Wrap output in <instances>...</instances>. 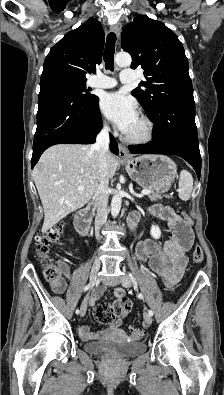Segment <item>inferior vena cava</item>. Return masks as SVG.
I'll list each match as a JSON object with an SVG mask.
<instances>
[{
    "mask_svg": "<svg viewBox=\"0 0 224 395\" xmlns=\"http://www.w3.org/2000/svg\"><path fill=\"white\" fill-rule=\"evenodd\" d=\"M94 148L98 152L99 180L93 199L97 207L95 217V235L97 240H99L100 228L106 223L108 216L107 205L109 180L107 155L109 152V128L107 125H104L103 129L97 135Z\"/></svg>",
    "mask_w": 224,
    "mask_h": 395,
    "instance_id": "inferior-vena-cava-1",
    "label": "inferior vena cava"
}]
</instances>
